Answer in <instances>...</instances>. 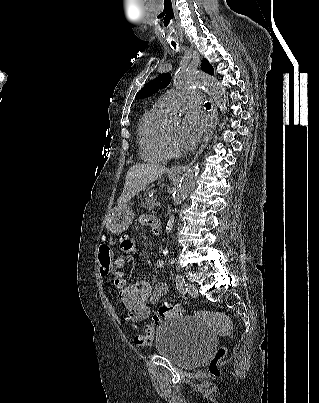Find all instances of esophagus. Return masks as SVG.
<instances>
[{
	"label": "esophagus",
	"mask_w": 319,
	"mask_h": 403,
	"mask_svg": "<svg viewBox=\"0 0 319 403\" xmlns=\"http://www.w3.org/2000/svg\"><path fill=\"white\" fill-rule=\"evenodd\" d=\"M217 125V108L214 102H212V109H211V117H210V127L208 129V131L205 134V137L203 139V142L199 148V150L197 151L196 155L194 156L193 160L187 164V165H178V166H174L170 168V171L176 174H181L183 172H185L195 161L196 159L199 157V155L203 152V150L205 149V147L208 144L209 139L211 138L215 128Z\"/></svg>",
	"instance_id": "34e87169"
}]
</instances>
